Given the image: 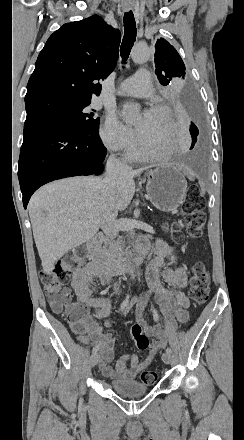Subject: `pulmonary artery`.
I'll list each match as a JSON object with an SVG mask.
<instances>
[{"instance_id": "1", "label": "pulmonary artery", "mask_w": 244, "mask_h": 440, "mask_svg": "<svg viewBox=\"0 0 244 440\" xmlns=\"http://www.w3.org/2000/svg\"><path fill=\"white\" fill-rule=\"evenodd\" d=\"M152 85L150 82L149 71L147 69H138L137 75H127L123 89L118 90V95L148 97Z\"/></svg>"}]
</instances>
